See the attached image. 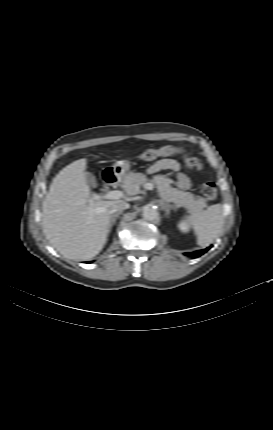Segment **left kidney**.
<instances>
[{"instance_id":"obj_1","label":"left kidney","mask_w":273,"mask_h":430,"mask_svg":"<svg viewBox=\"0 0 273 430\" xmlns=\"http://www.w3.org/2000/svg\"><path fill=\"white\" fill-rule=\"evenodd\" d=\"M179 229L182 232H188L189 231V226L182 222V223L179 224Z\"/></svg>"}]
</instances>
